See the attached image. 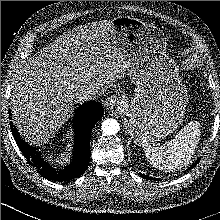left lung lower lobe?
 Returning <instances> with one entry per match:
<instances>
[{
  "label": "left lung lower lobe",
  "instance_id": "0a47b994",
  "mask_svg": "<svg viewBox=\"0 0 220 220\" xmlns=\"http://www.w3.org/2000/svg\"><path fill=\"white\" fill-rule=\"evenodd\" d=\"M199 161H200V159H198L195 163H193V165H192L190 168H188V170L191 169V168H193ZM140 175H141L142 178H145V179H148V180H158V179H156V178H152V177H149V176H145V175H143V174H140Z\"/></svg>",
  "mask_w": 220,
  "mask_h": 220
}]
</instances>
